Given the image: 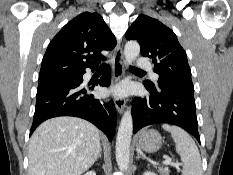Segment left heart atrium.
I'll return each instance as SVG.
<instances>
[{
    "label": "left heart atrium",
    "instance_id": "left-heart-atrium-1",
    "mask_svg": "<svg viewBox=\"0 0 233 175\" xmlns=\"http://www.w3.org/2000/svg\"><path fill=\"white\" fill-rule=\"evenodd\" d=\"M113 92L117 95H125L128 92V86L126 84H120L113 89Z\"/></svg>",
    "mask_w": 233,
    "mask_h": 175
}]
</instances>
